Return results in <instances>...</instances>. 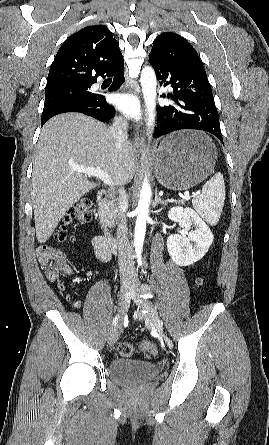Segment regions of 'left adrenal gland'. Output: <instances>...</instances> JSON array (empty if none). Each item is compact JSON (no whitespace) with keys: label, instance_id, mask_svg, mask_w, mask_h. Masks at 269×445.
I'll list each match as a JSON object with an SVG mask.
<instances>
[{"label":"left adrenal gland","instance_id":"obj_1","mask_svg":"<svg viewBox=\"0 0 269 445\" xmlns=\"http://www.w3.org/2000/svg\"><path fill=\"white\" fill-rule=\"evenodd\" d=\"M154 206H156V205H158V204H161V205H163V206H165L166 205V202L165 201H163L159 196H158V194L156 193L155 194V200H154Z\"/></svg>","mask_w":269,"mask_h":445}]
</instances>
